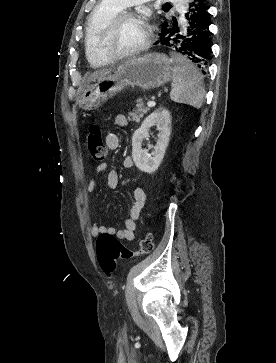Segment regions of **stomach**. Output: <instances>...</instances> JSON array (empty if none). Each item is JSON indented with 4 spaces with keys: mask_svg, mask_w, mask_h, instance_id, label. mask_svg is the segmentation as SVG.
I'll return each mask as SVG.
<instances>
[{
    "mask_svg": "<svg viewBox=\"0 0 276 363\" xmlns=\"http://www.w3.org/2000/svg\"><path fill=\"white\" fill-rule=\"evenodd\" d=\"M173 62L162 53H149L123 62L90 82L77 103L84 110H96L124 88L150 91L170 81Z\"/></svg>",
    "mask_w": 276,
    "mask_h": 363,
    "instance_id": "stomach-1",
    "label": "stomach"
}]
</instances>
